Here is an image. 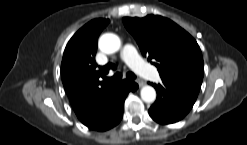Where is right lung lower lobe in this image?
<instances>
[{
  "mask_svg": "<svg viewBox=\"0 0 247 145\" xmlns=\"http://www.w3.org/2000/svg\"><path fill=\"white\" fill-rule=\"evenodd\" d=\"M137 88L138 85L133 81H121L103 105L80 121L96 131H106L116 126L123 116L125 98L129 92H134Z\"/></svg>",
  "mask_w": 247,
  "mask_h": 145,
  "instance_id": "1",
  "label": "right lung lower lobe"
}]
</instances>
